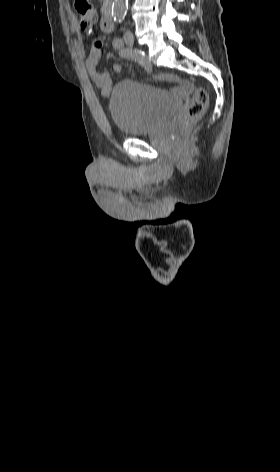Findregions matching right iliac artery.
Masks as SVG:
<instances>
[{
    "instance_id": "82829eb1",
    "label": "right iliac artery",
    "mask_w": 280,
    "mask_h": 472,
    "mask_svg": "<svg viewBox=\"0 0 280 472\" xmlns=\"http://www.w3.org/2000/svg\"><path fill=\"white\" fill-rule=\"evenodd\" d=\"M120 56L125 59H131L137 62L142 67H144L148 73L152 71L150 59L141 50L132 48H122L120 50Z\"/></svg>"
}]
</instances>
